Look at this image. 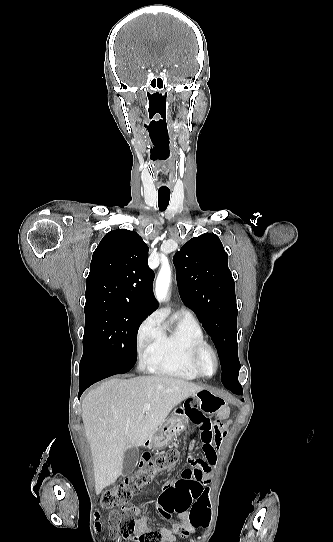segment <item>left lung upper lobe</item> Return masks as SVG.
Returning <instances> with one entry per match:
<instances>
[{
  "mask_svg": "<svg viewBox=\"0 0 333 542\" xmlns=\"http://www.w3.org/2000/svg\"><path fill=\"white\" fill-rule=\"evenodd\" d=\"M173 263L183 303L194 311L217 348L222 379L238 378L235 283L219 237L205 233L192 238L174 255Z\"/></svg>",
  "mask_w": 333,
  "mask_h": 542,
  "instance_id": "1",
  "label": "left lung upper lobe"
}]
</instances>
